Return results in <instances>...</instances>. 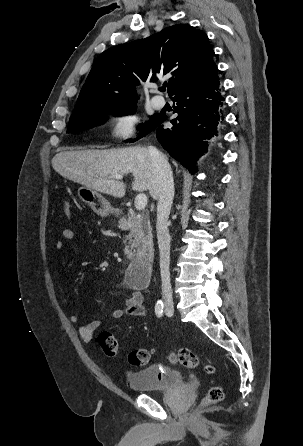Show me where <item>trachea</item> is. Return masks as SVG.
Instances as JSON below:
<instances>
[{"mask_svg": "<svg viewBox=\"0 0 303 446\" xmlns=\"http://www.w3.org/2000/svg\"><path fill=\"white\" fill-rule=\"evenodd\" d=\"M161 91H166V86L160 88Z\"/></svg>", "mask_w": 303, "mask_h": 446, "instance_id": "trachea-1", "label": "trachea"}]
</instances>
